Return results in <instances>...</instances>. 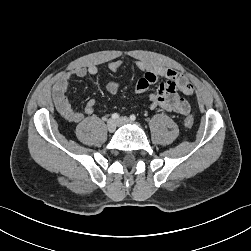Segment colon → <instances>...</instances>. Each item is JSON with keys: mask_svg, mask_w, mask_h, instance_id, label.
<instances>
[{"mask_svg": "<svg viewBox=\"0 0 251 251\" xmlns=\"http://www.w3.org/2000/svg\"><path fill=\"white\" fill-rule=\"evenodd\" d=\"M194 124V120L191 116H188L184 119V125L187 127V128H191Z\"/></svg>", "mask_w": 251, "mask_h": 251, "instance_id": "obj_1", "label": "colon"}]
</instances>
